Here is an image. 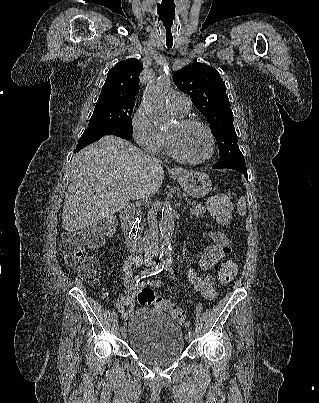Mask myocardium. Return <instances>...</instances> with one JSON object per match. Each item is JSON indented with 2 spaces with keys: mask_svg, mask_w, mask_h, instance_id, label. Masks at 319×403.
Here are the masks:
<instances>
[{
  "mask_svg": "<svg viewBox=\"0 0 319 403\" xmlns=\"http://www.w3.org/2000/svg\"><path fill=\"white\" fill-rule=\"evenodd\" d=\"M178 123L181 127L197 125V126H200L201 128H203L209 137L210 148H209V152L207 153V155L205 157L198 159V160L189 159V158H186L185 156H183L178 151L173 140L169 136H167L169 150H170V153L173 156V158H175L176 160H178L182 163L190 164V165H199V164H203V163L209 161L213 157V155L215 153V148H216L215 136H214L211 128L205 122L195 119V118L182 117V118L178 119Z\"/></svg>",
  "mask_w": 319,
  "mask_h": 403,
  "instance_id": "1",
  "label": "myocardium"
}]
</instances>
